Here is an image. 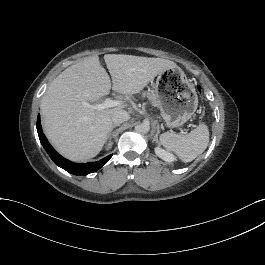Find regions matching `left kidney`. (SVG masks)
I'll use <instances>...</instances> for the list:
<instances>
[{
	"instance_id": "left-kidney-1",
	"label": "left kidney",
	"mask_w": 265,
	"mask_h": 265,
	"mask_svg": "<svg viewBox=\"0 0 265 265\" xmlns=\"http://www.w3.org/2000/svg\"><path fill=\"white\" fill-rule=\"evenodd\" d=\"M156 153L160 158H162L165 161H171L172 160V157L170 156V154H168L165 150H163L159 147L156 149Z\"/></svg>"
}]
</instances>
